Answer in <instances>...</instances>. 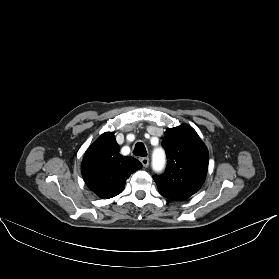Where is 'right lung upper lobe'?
I'll use <instances>...</instances> for the list:
<instances>
[{
  "label": "right lung upper lobe",
  "mask_w": 279,
  "mask_h": 279,
  "mask_svg": "<svg viewBox=\"0 0 279 279\" xmlns=\"http://www.w3.org/2000/svg\"><path fill=\"white\" fill-rule=\"evenodd\" d=\"M112 132L103 133L85 152L81 165L83 179L90 190L102 199L120 194L129 176L142 164L119 154Z\"/></svg>",
  "instance_id": "cb5924a9"
}]
</instances>
